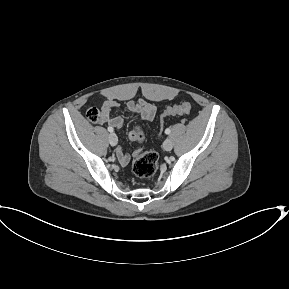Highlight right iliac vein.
Instances as JSON below:
<instances>
[{
  "instance_id": "obj_1",
  "label": "right iliac vein",
  "mask_w": 289,
  "mask_h": 289,
  "mask_svg": "<svg viewBox=\"0 0 289 289\" xmlns=\"http://www.w3.org/2000/svg\"><path fill=\"white\" fill-rule=\"evenodd\" d=\"M108 140H109V143L112 145V146H115L118 142V138L116 136L115 133H111L108 137Z\"/></svg>"
}]
</instances>
